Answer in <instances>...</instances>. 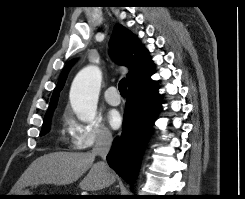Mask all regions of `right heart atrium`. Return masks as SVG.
Returning <instances> with one entry per match:
<instances>
[{
	"instance_id": "right-heart-atrium-1",
	"label": "right heart atrium",
	"mask_w": 245,
	"mask_h": 199,
	"mask_svg": "<svg viewBox=\"0 0 245 199\" xmlns=\"http://www.w3.org/2000/svg\"><path fill=\"white\" fill-rule=\"evenodd\" d=\"M69 139L74 150H87L112 141V133L100 119L83 123L73 119L68 123Z\"/></svg>"
}]
</instances>
